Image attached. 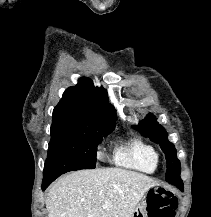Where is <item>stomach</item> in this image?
I'll return each mask as SVG.
<instances>
[{
    "label": "stomach",
    "instance_id": "1",
    "mask_svg": "<svg viewBox=\"0 0 211 217\" xmlns=\"http://www.w3.org/2000/svg\"><path fill=\"white\" fill-rule=\"evenodd\" d=\"M131 217H148L147 215V203L143 199L140 204H138Z\"/></svg>",
    "mask_w": 211,
    "mask_h": 217
}]
</instances>
